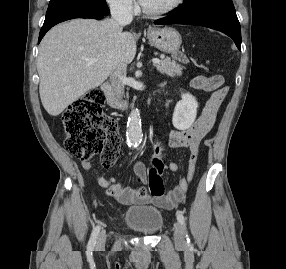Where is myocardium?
<instances>
[{
	"instance_id": "f54148a6",
	"label": "myocardium",
	"mask_w": 286,
	"mask_h": 269,
	"mask_svg": "<svg viewBox=\"0 0 286 269\" xmlns=\"http://www.w3.org/2000/svg\"><path fill=\"white\" fill-rule=\"evenodd\" d=\"M184 0H173L168 6L159 9V10H150L147 9L141 2H140V8L144 15L149 17H160L166 14H169L176 10Z\"/></svg>"
}]
</instances>
